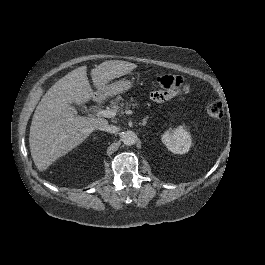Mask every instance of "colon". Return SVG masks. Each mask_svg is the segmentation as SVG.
<instances>
[{"label": "colon", "mask_w": 265, "mask_h": 265, "mask_svg": "<svg viewBox=\"0 0 265 265\" xmlns=\"http://www.w3.org/2000/svg\"><path fill=\"white\" fill-rule=\"evenodd\" d=\"M157 84L165 90H176L182 93H187L190 89L189 84L180 76L171 74H163L157 77ZM224 106L221 102L216 101L208 106V114L214 119H219L223 116Z\"/></svg>", "instance_id": "1"}]
</instances>
